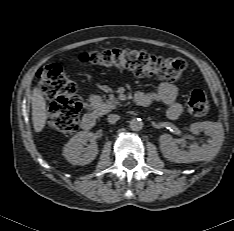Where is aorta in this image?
<instances>
[{"label":"aorta","mask_w":234,"mask_h":231,"mask_svg":"<svg viewBox=\"0 0 234 231\" xmlns=\"http://www.w3.org/2000/svg\"><path fill=\"white\" fill-rule=\"evenodd\" d=\"M129 127L132 131H140L143 128V122L140 118H133L130 121Z\"/></svg>","instance_id":"aorta-1"}]
</instances>
